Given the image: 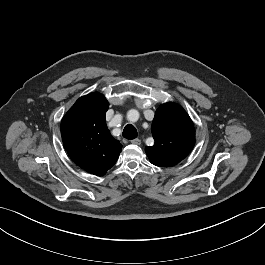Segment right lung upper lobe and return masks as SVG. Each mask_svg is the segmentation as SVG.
I'll list each match as a JSON object with an SVG mask.
<instances>
[{"label":"right lung upper lobe","mask_w":265,"mask_h":265,"mask_svg":"<svg viewBox=\"0 0 265 265\" xmlns=\"http://www.w3.org/2000/svg\"><path fill=\"white\" fill-rule=\"evenodd\" d=\"M109 103L99 93L80 97L61 121V135L71 160L85 171L103 176L117 161L122 145L107 126Z\"/></svg>","instance_id":"cb5924a9"}]
</instances>
